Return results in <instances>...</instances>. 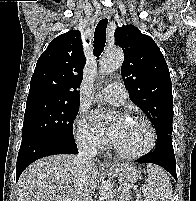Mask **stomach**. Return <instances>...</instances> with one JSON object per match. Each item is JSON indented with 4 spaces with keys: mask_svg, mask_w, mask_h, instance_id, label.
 <instances>
[{
    "mask_svg": "<svg viewBox=\"0 0 196 201\" xmlns=\"http://www.w3.org/2000/svg\"><path fill=\"white\" fill-rule=\"evenodd\" d=\"M112 171L117 176L119 183L123 186H130L141 178L140 172L132 165L123 164L113 166Z\"/></svg>",
    "mask_w": 196,
    "mask_h": 201,
    "instance_id": "stomach-1",
    "label": "stomach"
}]
</instances>
